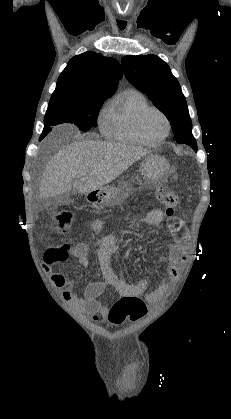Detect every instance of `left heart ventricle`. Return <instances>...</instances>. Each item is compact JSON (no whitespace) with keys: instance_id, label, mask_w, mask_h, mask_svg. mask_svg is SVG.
<instances>
[{"instance_id":"b2bd125f","label":"left heart ventricle","mask_w":231,"mask_h":419,"mask_svg":"<svg viewBox=\"0 0 231 419\" xmlns=\"http://www.w3.org/2000/svg\"><path fill=\"white\" fill-rule=\"evenodd\" d=\"M143 131L150 139L162 137L166 130V122L163 117L155 111L149 112L143 120Z\"/></svg>"}]
</instances>
